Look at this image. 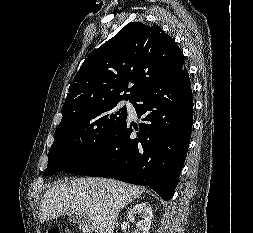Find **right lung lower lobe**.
<instances>
[{
	"label": "right lung lower lobe",
	"mask_w": 253,
	"mask_h": 233,
	"mask_svg": "<svg viewBox=\"0 0 253 233\" xmlns=\"http://www.w3.org/2000/svg\"><path fill=\"white\" fill-rule=\"evenodd\" d=\"M133 106L142 117L139 127L126 119L100 150L63 171L149 186L169 200L191 137L193 100L187 70L182 67L161 77L133 100Z\"/></svg>",
	"instance_id": "right-lung-lower-lobe-1"
}]
</instances>
